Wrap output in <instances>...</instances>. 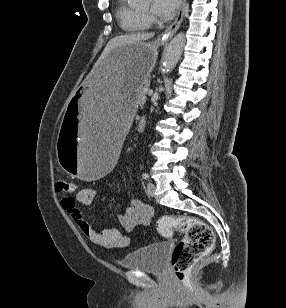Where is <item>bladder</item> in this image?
<instances>
[{
    "label": "bladder",
    "mask_w": 286,
    "mask_h": 308,
    "mask_svg": "<svg viewBox=\"0 0 286 308\" xmlns=\"http://www.w3.org/2000/svg\"><path fill=\"white\" fill-rule=\"evenodd\" d=\"M167 249L166 243L138 247L125 255L120 266L123 269L161 274L165 271Z\"/></svg>",
    "instance_id": "31cf9c89"
}]
</instances>
